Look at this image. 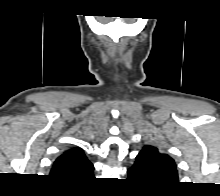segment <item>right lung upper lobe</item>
I'll list each match as a JSON object with an SVG mask.
<instances>
[{"label":"right lung upper lobe","instance_id":"right-lung-upper-lobe-1","mask_svg":"<svg viewBox=\"0 0 220 196\" xmlns=\"http://www.w3.org/2000/svg\"><path fill=\"white\" fill-rule=\"evenodd\" d=\"M93 168L80 148H72L55 160L50 175L59 180L79 183L92 176Z\"/></svg>","mask_w":220,"mask_h":196}]
</instances>
